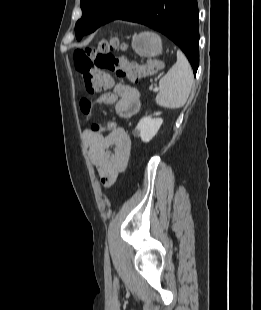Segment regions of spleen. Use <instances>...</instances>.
Here are the masks:
<instances>
[{
	"label": "spleen",
	"instance_id": "spleen-1",
	"mask_svg": "<svg viewBox=\"0 0 261 310\" xmlns=\"http://www.w3.org/2000/svg\"><path fill=\"white\" fill-rule=\"evenodd\" d=\"M194 82L192 68L181 51H177V61L159 81L156 103L169 109L185 105Z\"/></svg>",
	"mask_w": 261,
	"mask_h": 310
}]
</instances>
